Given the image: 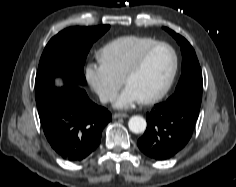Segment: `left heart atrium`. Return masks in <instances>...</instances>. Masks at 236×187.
I'll use <instances>...</instances> for the list:
<instances>
[{"label": "left heart atrium", "instance_id": "1", "mask_svg": "<svg viewBox=\"0 0 236 187\" xmlns=\"http://www.w3.org/2000/svg\"><path fill=\"white\" fill-rule=\"evenodd\" d=\"M140 96L135 92L130 86H125L123 91L120 93L116 99L115 106L120 109H128L134 106L136 103L140 102Z\"/></svg>", "mask_w": 236, "mask_h": 187}]
</instances>
